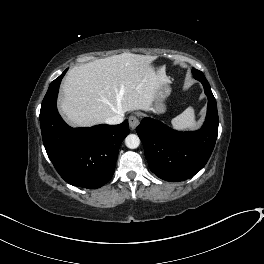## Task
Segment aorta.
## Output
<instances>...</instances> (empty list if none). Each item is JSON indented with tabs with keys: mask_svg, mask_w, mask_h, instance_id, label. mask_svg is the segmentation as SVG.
<instances>
[{
	"mask_svg": "<svg viewBox=\"0 0 264 264\" xmlns=\"http://www.w3.org/2000/svg\"><path fill=\"white\" fill-rule=\"evenodd\" d=\"M125 144L128 148L130 149H135L139 146L140 144V139L137 135L135 134H129L126 138H125Z\"/></svg>",
	"mask_w": 264,
	"mask_h": 264,
	"instance_id": "obj_1",
	"label": "aorta"
}]
</instances>
